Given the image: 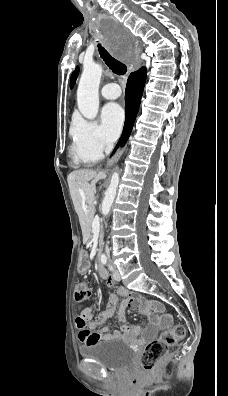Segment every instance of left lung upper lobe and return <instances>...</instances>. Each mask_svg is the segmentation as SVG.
<instances>
[{"label":"left lung upper lobe","instance_id":"1","mask_svg":"<svg viewBox=\"0 0 228 396\" xmlns=\"http://www.w3.org/2000/svg\"><path fill=\"white\" fill-rule=\"evenodd\" d=\"M78 73H79V67H76L75 71L72 73L71 75V79H70V87L72 88L73 85L76 82V79L78 77Z\"/></svg>","mask_w":228,"mask_h":396}]
</instances>
